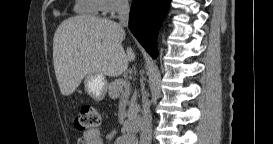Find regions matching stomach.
I'll list each match as a JSON object with an SVG mask.
<instances>
[{"label":"stomach","mask_w":273,"mask_h":144,"mask_svg":"<svg viewBox=\"0 0 273 144\" xmlns=\"http://www.w3.org/2000/svg\"><path fill=\"white\" fill-rule=\"evenodd\" d=\"M107 86L105 75L101 73L88 74L84 79L85 91L97 101L105 98Z\"/></svg>","instance_id":"1"}]
</instances>
